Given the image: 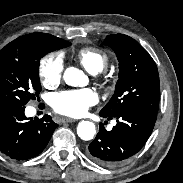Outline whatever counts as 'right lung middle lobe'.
<instances>
[{
  "mask_svg": "<svg viewBox=\"0 0 183 183\" xmlns=\"http://www.w3.org/2000/svg\"><path fill=\"white\" fill-rule=\"evenodd\" d=\"M70 46L67 42L65 47ZM46 48L32 46L19 53L0 56V106L25 105L41 91L39 61L49 53Z\"/></svg>",
  "mask_w": 183,
  "mask_h": 183,
  "instance_id": "obj_1",
  "label": "right lung middle lobe"
}]
</instances>
